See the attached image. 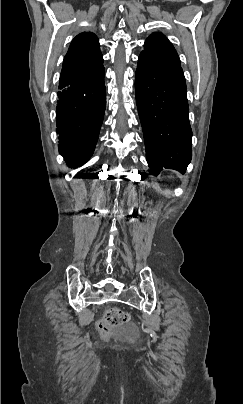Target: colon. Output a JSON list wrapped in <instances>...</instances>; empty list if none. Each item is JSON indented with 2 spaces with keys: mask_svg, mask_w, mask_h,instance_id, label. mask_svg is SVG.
<instances>
[{
  "mask_svg": "<svg viewBox=\"0 0 243 404\" xmlns=\"http://www.w3.org/2000/svg\"><path fill=\"white\" fill-rule=\"evenodd\" d=\"M129 319L128 314L120 308H110L104 318L101 320L99 327L103 332L109 331L111 327H120Z\"/></svg>",
  "mask_w": 243,
  "mask_h": 404,
  "instance_id": "obj_1",
  "label": "colon"
}]
</instances>
